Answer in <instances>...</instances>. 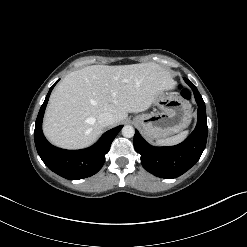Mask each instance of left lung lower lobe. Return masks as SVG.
<instances>
[{
	"label": "left lung lower lobe",
	"instance_id": "0a47b994",
	"mask_svg": "<svg viewBox=\"0 0 247 247\" xmlns=\"http://www.w3.org/2000/svg\"><path fill=\"white\" fill-rule=\"evenodd\" d=\"M193 90L198 104V122L192 134L182 143L171 147H153L135 131L134 148L141 155L143 167L160 178H176L189 170L200 158L206 146L208 127L205 103L196 86L184 78Z\"/></svg>",
	"mask_w": 247,
	"mask_h": 247
}]
</instances>
